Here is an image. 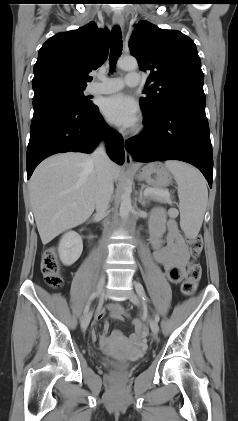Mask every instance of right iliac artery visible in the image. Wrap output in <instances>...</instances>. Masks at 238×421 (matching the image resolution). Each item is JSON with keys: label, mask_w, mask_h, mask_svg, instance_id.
<instances>
[{"label": "right iliac artery", "mask_w": 238, "mask_h": 421, "mask_svg": "<svg viewBox=\"0 0 238 421\" xmlns=\"http://www.w3.org/2000/svg\"><path fill=\"white\" fill-rule=\"evenodd\" d=\"M99 294H98V292H94L91 296H90V299H89V301H88V303H87V305L85 306V308H84V312H83V314H84V316L88 313V311H89V308H90V304H91V301H93L97 296H98Z\"/></svg>", "instance_id": "obj_1"}]
</instances>
